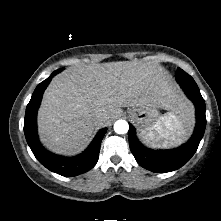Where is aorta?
<instances>
[{
	"instance_id": "aorta-1",
	"label": "aorta",
	"mask_w": 221,
	"mask_h": 221,
	"mask_svg": "<svg viewBox=\"0 0 221 221\" xmlns=\"http://www.w3.org/2000/svg\"><path fill=\"white\" fill-rule=\"evenodd\" d=\"M129 125L128 122L125 120H118L114 124V131L117 134H125L128 132Z\"/></svg>"
}]
</instances>
